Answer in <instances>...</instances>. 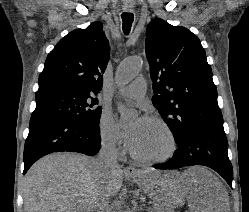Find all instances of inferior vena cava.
I'll list each match as a JSON object with an SVG mask.
<instances>
[{
    "label": "inferior vena cava",
    "instance_id": "602c4592",
    "mask_svg": "<svg viewBox=\"0 0 249 212\" xmlns=\"http://www.w3.org/2000/svg\"><path fill=\"white\" fill-rule=\"evenodd\" d=\"M118 158V150L116 148L115 142L111 140V142H102L100 152L96 158H94L95 164H97V168H102L103 172V180L102 184H107L106 174H108L107 170L110 168H119V164H117ZM102 212H110L109 208V200H106L103 204Z\"/></svg>",
    "mask_w": 249,
    "mask_h": 212
}]
</instances>
